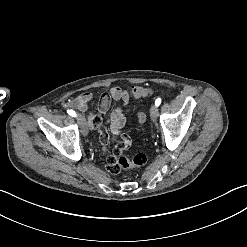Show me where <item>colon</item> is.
<instances>
[{
  "instance_id": "1",
  "label": "colon",
  "mask_w": 247,
  "mask_h": 247,
  "mask_svg": "<svg viewBox=\"0 0 247 247\" xmlns=\"http://www.w3.org/2000/svg\"><path fill=\"white\" fill-rule=\"evenodd\" d=\"M131 94L134 98H143L152 94V89L143 85H135L131 89ZM149 161V156L146 153L140 152L134 155L132 158L130 156H125L118 159V164L127 170H132L134 166L137 168H142Z\"/></svg>"
}]
</instances>
